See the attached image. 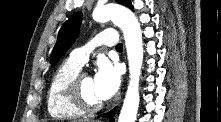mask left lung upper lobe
Masks as SVG:
<instances>
[{
  "instance_id": "obj_1",
  "label": "left lung upper lobe",
  "mask_w": 221,
  "mask_h": 122,
  "mask_svg": "<svg viewBox=\"0 0 221 122\" xmlns=\"http://www.w3.org/2000/svg\"><path fill=\"white\" fill-rule=\"evenodd\" d=\"M119 4L129 7L133 10V6L130 0H116ZM82 19V13L77 12L73 14L60 28L57 42L53 48L51 65L54 66L60 60V58L66 53V51L74 43L79 34V27Z\"/></svg>"
}]
</instances>
